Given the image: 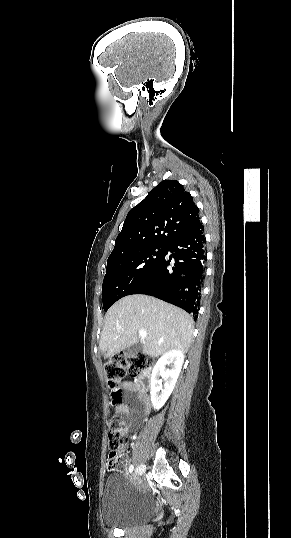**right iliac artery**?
Segmentation results:
<instances>
[{
    "label": "right iliac artery",
    "mask_w": 291,
    "mask_h": 538,
    "mask_svg": "<svg viewBox=\"0 0 291 538\" xmlns=\"http://www.w3.org/2000/svg\"><path fill=\"white\" fill-rule=\"evenodd\" d=\"M133 470H134V467H133V465H131V466L129 467V472L131 473V472H133Z\"/></svg>",
    "instance_id": "right-iliac-artery-1"
}]
</instances>
